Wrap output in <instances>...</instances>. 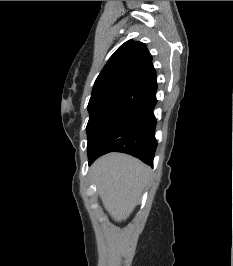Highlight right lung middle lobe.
I'll list each match as a JSON object with an SVG mask.
<instances>
[{
    "mask_svg": "<svg viewBox=\"0 0 233 266\" xmlns=\"http://www.w3.org/2000/svg\"><path fill=\"white\" fill-rule=\"evenodd\" d=\"M147 96L146 92L130 91L91 99L88 104V154L96 151Z\"/></svg>",
    "mask_w": 233,
    "mask_h": 266,
    "instance_id": "right-lung-middle-lobe-1",
    "label": "right lung middle lobe"
}]
</instances>
